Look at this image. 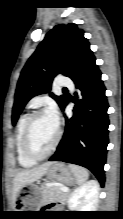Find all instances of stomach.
<instances>
[{"mask_svg":"<svg viewBox=\"0 0 123 219\" xmlns=\"http://www.w3.org/2000/svg\"><path fill=\"white\" fill-rule=\"evenodd\" d=\"M46 178L43 180H50L61 182L64 184H73L76 182V177L69 168L63 163L55 162L47 170ZM38 181V180H37ZM43 203L41 188L36 183L27 185L25 196L21 198V209H38ZM16 211H34V210H16Z\"/></svg>","mask_w":123,"mask_h":219,"instance_id":"stomach-1","label":"stomach"}]
</instances>
